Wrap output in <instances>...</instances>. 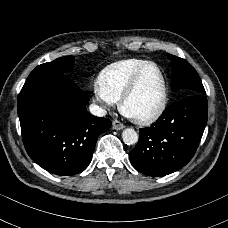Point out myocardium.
Listing matches in <instances>:
<instances>
[{
    "label": "myocardium",
    "instance_id": "f54148a6",
    "mask_svg": "<svg viewBox=\"0 0 228 228\" xmlns=\"http://www.w3.org/2000/svg\"><path fill=\"white\" fill-rule=\"evenodd\" d=\"M149 68L157 69L161 75L162 83H163L162 104L159 107V109L156 112H154L153 114L146 116V117H136V116L131 115L128 112L127 103L134 96L136 91L138 90V87L140 85L142 77L144 76V74L146 73V71ZM168 102H169V90H168V82H167L166 75H165V73H164V71L160 65H158L156 63H150V64H147L144 67H142L134 75V77H133L132 81L130 82L128 88L126 89L125 93L123 94V96L120 99V110L125 117L129 118L133 122H135L137 124H141V125H149V124L156 122L157 120H159L164 115V113L168 107Z\"/></svg>",
    "mask_w": 228,
    "mask_h": 228
}]
</instances>
